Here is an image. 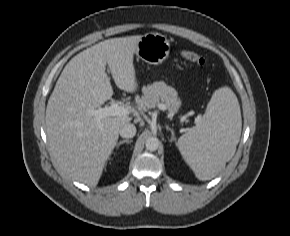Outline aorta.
Masks as SVG:
<instances>
[{
  "label": "aorta",
  "mask_w": 290,
  "mask_h": 236,
  "mask_svg": "<svg viewBox=\"0 0 290 236\" xmlns=\"http://www.w3.org/2000/svg\"><path fill=\"white\" fill-rule=\"evenodd\" d=\"M160 141L157 137H149L146 142V149L149 151H156L159 147Z\"/></svg>",
  "instance_id": "obj_1"
}]
</instances>
